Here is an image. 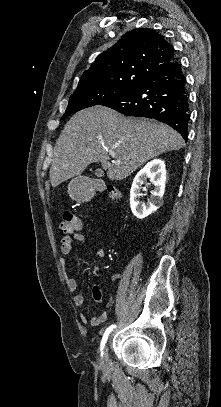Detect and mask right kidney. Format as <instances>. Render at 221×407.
Listing matches in <instances>:
<instances>
[{
  "label": "right kidney",
  "mask_w": 221,
  "mask_h": 407,
  "mask_svg": "<svg viewBox=\"0 0 221 407\" xmlns=\"http://www.w3.org/2000/svg\"><path fill=\"white\" fill-rule=\"evenodd\" d=\"M150 178L154 186L151 197L147 203L140 202L142 195L140 190L144 181ZM166 169L165 163L161 159H154L147 163L135 176L130 190V207L134 216L144 219L155 212L162 204V197L165 191Z\"/></svg>",
  "instance_id": "1"
}]
</instances>
